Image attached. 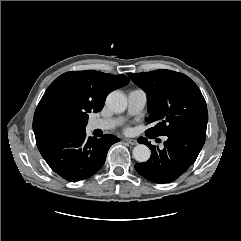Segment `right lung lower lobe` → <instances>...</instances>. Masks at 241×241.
<instances>
[{"instance_id":"right-lung-lower-lobe-1","label":"right lung lower lobe","mask_w":241,"mask_h":241,"mask_svg":"<svg viewBox=\"0 0 241 241\" xmlns=\"http://www.w3.org/2000/svg\"><path fill=\"white\" fill-rule=\"evenodd\" d=\"M120 140L111 134L86 137V130L64 129L36 138L37 147L50 168L68 181L95 174L105 163L109 148Z\"/></svg>"}]
</instances>
